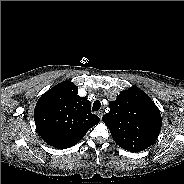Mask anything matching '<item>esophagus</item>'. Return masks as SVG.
<instances>
[{"instance_id": "34e87169", "label": "esophagus", "mask_w": 184, "mask_h": 184, "mask_svg": "<svg viewBox=\"0 0 184 184\" xmlns=\"http://www.w3.org/2000/svg\"><path fill=\"white\" fill-rule=\"evenodd\" d=\"M97 114H98L99 118L101 119L103 117L104 112H103V110H100L97 112Z\"/></svg>"}]
</instances>
